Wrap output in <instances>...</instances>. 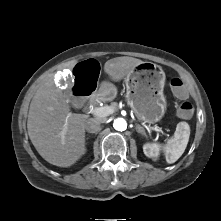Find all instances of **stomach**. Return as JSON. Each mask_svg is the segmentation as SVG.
<instances>
[{
	"instance_id": "0dacf381",
	"label": "stomach",
	"mask_w": 221,
	"mask_h": 221,
	"mask_svg": "<svg viewBox=\"0 0 221 221\" xmlns=\"http://www.w3.org/2000/svg\"><path fill=\"white\" fill-rule=\"evenodd\" d=\"M126 101L136 116L147 123L162 119L167 102L163 93L165 73L160 66L152 62H143L135 66L125 78ZM101 91L111 94L109 84H103Z\"/></svg>"
}]
</instances>
